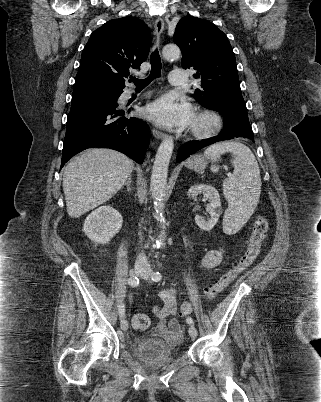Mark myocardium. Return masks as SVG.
Returning a JSON list of instances; mask_svg holds the SVG:
<instances>
[{"label": "myocardium", "mask_w": 321, "mask_h": 402, "mask_svg": "<svg viewBox=\"0 0 321 402\" xmlns=\"http://www.w3.org/2000/svg\"><path fill=\"white\" fill-rule=\"evenodd\" d=\"M194 116L206 119L209 124L205 128L190 126L188 131L190 136L196 139H208L216 136L223 128L221 116L211 109H199L195 111Z\"/></svg>", "instance_id": "1"}]
</instances>
